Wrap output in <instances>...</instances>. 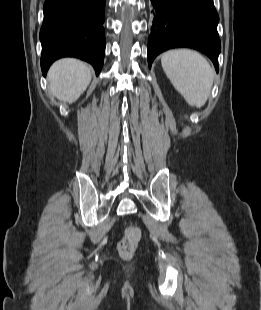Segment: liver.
Wrapping results in <instances>:
<instances>
[{
  "instance_id": "1",
  "label": "liver",
  "mask_w": 261,
  "mask_h": 310,
  "mask_svg": "<svg viewBox=\"0 0 261 310\" xmlns=\"http://www.w3.org/2000/svg\"><path fill=\"white\" fill-rule=\"evenodd\" d=\"M91 77L87 63L71 58L59 60L48 73L50 91L59 100L73 103L87 89Z\"/></svg>"
}]
</instances>
